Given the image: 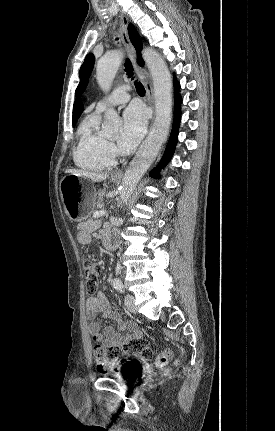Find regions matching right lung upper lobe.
Returning <instances> with one entry per match:
<instances>
[{"mask_svg":"<svg viewBox=\"0 0 275 431\" xmlns=\"http://www.w3.org/2000/svg\"><path fill=\"white\" fill-rule=\"evenodd\" d=\"M128 33H129L130 40H131L132 44L134 45V47L137 51L138 63H139V65L143 66L144 61H143L141 53H140V50L142 49V42H141L134 26L131 24L128 26ZM82 111H83V105L79 99H76L74 106H73V124H76Z\"/></svg>","mask_w":275,"mask_h":431,"instance_id":"obj_1","label":"right lung upper lobe"}]
</instances>
